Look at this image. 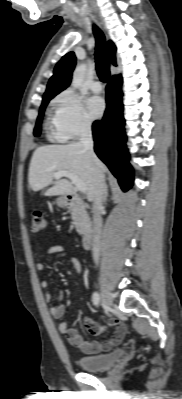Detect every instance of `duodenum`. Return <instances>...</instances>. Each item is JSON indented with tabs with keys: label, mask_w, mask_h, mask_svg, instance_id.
Masks as SVG:
<instances>
[{
	"label": "duodenum",
	"mask_w": 182,
	"mask_h": 399,
	"mask_svg": "<svg viewBox=\"0 0 182 399\" xmlns=\"http://www.w3.org/2000/svg\"><path fill=\"white\" fill-rule=\"evenodd\" d=\"M80 203H81V201L74 194H68L66 196V204L68 206H73V205L80 204ZM93 243H94V230L90 226L86 229V231L83 234L82 245L84 248L87 249V248H91Z\"/></svg>",
	"instance_id": "duodenum-1"
}]
</instances>
